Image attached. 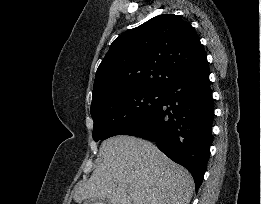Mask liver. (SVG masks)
I'll use <instances>...</instances> for the list:
<instances>
[{"label":"liver","mask_w":261,"mask_h":204,"mask_svg":"<svg viewBox=\"0 0 261 204\" xmlns=\"http://www.w3.org/2000/svg\"><path fill=\"white\" fill-rule=\"evenodd\" d=\"M191 174L154 144L132 136L102 142L98 163L87 182L76 185L73 198L108 199L110 204H189Z\"/></svg>","instance_id":"1"}]
</instances>
